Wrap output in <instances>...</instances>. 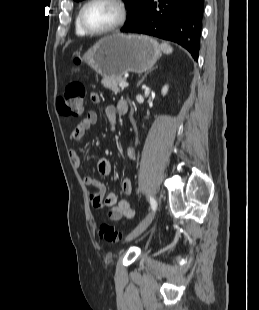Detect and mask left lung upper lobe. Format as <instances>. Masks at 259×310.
Here are the masks:
<instances>
[{"label": "left lung upper lobe", "instance_id": "1", "mask_svg": "<svg viewBox=\"0 0 259 310\" xmlns=\"http://www.w3.org/2000/svg\"><path fill=\"white\" fill-rule=\"evenodd\" d=\"M75 1L78 2L81 0H75ZM148 1L149 0H124L128 8V20L126 24L133 22L140 16L143 8L145 7Z\"/></svg>", "mask_w": 259, "mask_h": 310}]
</instances>
